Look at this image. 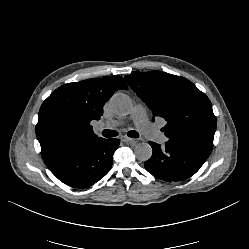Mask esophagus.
Returning a JSON list of instances; mask_svg holds the SVG:
<instances>
[{
  "mask_svg": "<svg viewBox=\"0 0 249 249\" xmlns=\"http://www.w3.org/2000/svg\"><path fill=\"white\" fill-rule=\"evenodd\" d=\"M120 140L124 143H133L135 140L126 136H122Z\"/></svg>",
  "mask_w": 249,
  "mask_h": 249,
  "instance_id": "1",
  "label": "esophagus"
}]
</instances>
